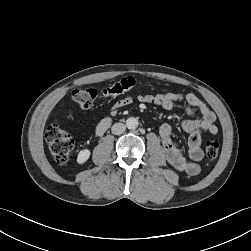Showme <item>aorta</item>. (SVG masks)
Here are the masks:
<instances>
[{
	"mask_svg": "<svg viewBox=\"0 0 251 251\" xmlns=\"http://www.w3.org/2000/svg\"><path fill=\"white\" fill-rule=\"evenodd\" d=\"M139 125L138 119L130 117L126 120V126L128 129H136Z\"/></svg>",
	"mask_w": 251,
	"mask_h": 251,
	"instance_id": "obj_1",
	"label": "aorta"
}]
</instances>
